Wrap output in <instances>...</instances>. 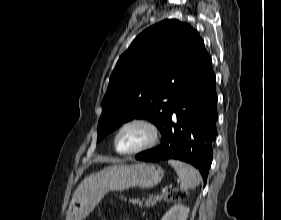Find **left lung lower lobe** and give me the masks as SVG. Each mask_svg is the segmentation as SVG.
<instances>
[{"label":"left lung lower lobe","instance_id":"1","mask_svg":"<svg viewBox=\"0 0 281 220\" xmlns=\"http://www.w3.org/2000/svg\"><path fill=\"white\" fill-rule=\"evenodd\" d=\"M217 94L210 55L206 54L181 81L174 106L162 129V143L136 155L143 161L179 159L199 169L204 183L217 135Z\"/></svg>","mask_w":281,"mask_h":220}]
</instances>
